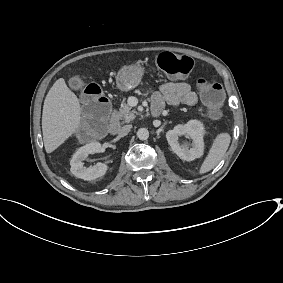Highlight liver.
Returning <instances> with one entry per match:
<instances>
[{
    "instance_id": "liver-1",
    "label": "liver",
    "mask_w": 283,
    "mask_h": 283,
    "mask_svg": "<svg viewBox=\"0 0 283 283\" xmlns=\"http://www.w3.org/2000/svg\"><path fill=\"white\" fill-rule=\"evenodd\" d=\"M81 108L77 96L59 78L50 88L43 106L42 132L47 153L65 142L80 125Z\"/></svg>"
}]
</instances>
